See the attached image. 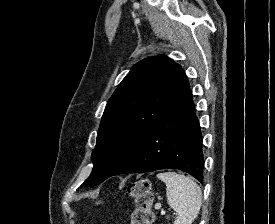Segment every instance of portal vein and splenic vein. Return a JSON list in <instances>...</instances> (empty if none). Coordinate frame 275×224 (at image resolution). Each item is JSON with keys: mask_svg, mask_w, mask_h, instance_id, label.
Returning a JSON list of instances; mask_svg holds the SVG:
<instances>
[{"mask_svg": "<svg viewBox=\"0 0 275 224\" xmlns=\"http://www.w3.org/2000/svg\"><path fill=\"white\" fill-rule=\"evenodd\" d=\"M161 214H162V215H164V214H165V211H164V210H162V211H161Z\"/></svg>", "mask_w": 275, "mask_h": 224, "instance_id": "18ae733b", "label": "portal vein and splenic vein"}]
</instances>
